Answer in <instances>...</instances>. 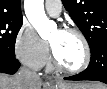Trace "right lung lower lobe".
<instances>
[{
  "mask_svg": "<svg viewBox=\"0 0 107 89\" xmlns=\"http://www.w3.org/2000/svg\"><path fill=\"white\" fill-rule=\"evenodd\" d=\"M20 67V63L15 58L11 59L0 55V72L14 74Z\"/></svg>",
  "mask_w": 107,
  "mask_h": 89,
  "instance_id": "98d812e1",
  "label": "right lung lower lobe"
}]
</instances>
